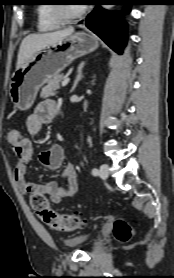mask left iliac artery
I'll use <instances>...</instances> for the list:
<instances>
[{"instance_id":"obj_1","label":"left iliac artery","mask_w":174,"mask_h":278,"mask_svg":"<svg viewBox=\"0 0 174 278\" xmlns=\"http://www.w3.org/2000/svg\"><path fill=\"white\" fill-rule=\"evenodd\" d=\"M92 174H93L94 176L98 175V174H99L98 169H96V168L92 169Z\"/></svg>"}]
</instances>
